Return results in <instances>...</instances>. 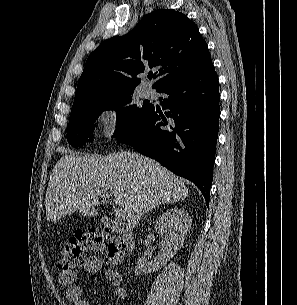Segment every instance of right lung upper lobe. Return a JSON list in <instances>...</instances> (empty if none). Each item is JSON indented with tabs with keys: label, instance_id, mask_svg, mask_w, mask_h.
I'll return each mask as SVG.
<instances>
[{
	"label": "right lung upper lobe",
	"instance_id": "obj_1",
	"mask_svg": "<svg viewBox=\"0 0 297 305\" xmlns=\"http://www.w3.org/2000/svg\"><path fill=\"white\" fill-rule=\"evenodd\" d=\"M211 55L195 23L174 10L146 15L123 36L101 43L88 57L74 103L134 90L136 76L156 68V90L194 78L212 67Z\"/></svg>",
	"mask_w": 297,
	"mask_h": 305
}]
</instances>
